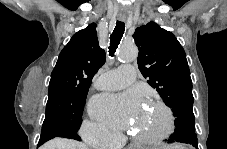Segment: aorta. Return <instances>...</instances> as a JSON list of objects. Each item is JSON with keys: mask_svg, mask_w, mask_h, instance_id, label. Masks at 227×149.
<instances>
[{"mask_svg": "<svg viewBox=\"0 0 227 149\" xmlns=\"http://www.w3.org/2000/svg\"><path fill=\"white\" fill-rule=\"evenodd\" d=\"M137 55H138V51L135 47L124 46L121 48L118 54V58L121 61L130 62V61H134L137 58Z\"/></svg>", "mask_w": 227, "mask_h": 149, "instance_id": "1", "label": "aorta"}]
</instances>
